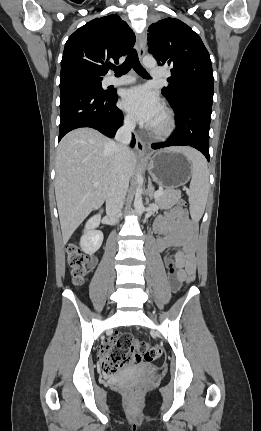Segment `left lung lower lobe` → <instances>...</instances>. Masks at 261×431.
<instances>
[{"mask_svg":"<svg viewBox=\"0 0 261 431\" xmlns=\"http://www.w3.org/2000/svg\"><path fill=\"white\" fill-rule=\"evenodd\" d=\"M175 112L176 129L166 142L152 144L153 149L169 146H191L199 150L209 161V127L212 100L192 98L172 107Z\"/></svg>","mask_w":261,"mask_h":431,"instance_id":"left-lung-lower-lobe-1","label":"left lung lower lobe"}]
</instances>
